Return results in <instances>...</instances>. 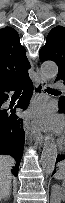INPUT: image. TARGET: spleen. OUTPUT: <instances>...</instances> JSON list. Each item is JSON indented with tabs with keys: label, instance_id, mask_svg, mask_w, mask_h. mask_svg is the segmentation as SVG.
I'll return each instance as SVG.
<instances>
[{
	"label": "spleen",
	"instance_id": "spleen-1",
	"mask_svg": "<svg viewBox=\"0 0 65 203\" xmlns=\"http://www.w3.org/2000/svg\"><path fill=\"white\" fill-rule=\"evenodd\" d=\"M55 177H56V179L64 180V178H65V169H64L63 165H61L59 167V170L57 171Z\"/></svg>",
	"mask_w": 65,
	"mask_h": 203
}]
</instances>
